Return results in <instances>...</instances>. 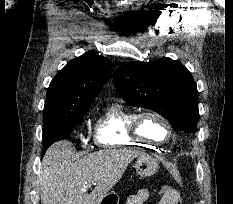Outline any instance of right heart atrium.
I'll use <instances>...</instances> for the list:
<instances>
[{
    "mask_svg": "<svg viewBox=\"0 0 233 204\" xmlns=\"http://www.w3.org/2000/svg\"><path fill=\"white\" fill-rule=\"evenodd\" d=\"M81 139H82V141H83V142H85V141H86V140H85V138H84L83 136H81Z\"/></svg>",
    "mask_w": 233,
    "mask_h": 204,
    "instance_id": "right-heart-atrium-1",
    "label": "right heart atrium"
}]
</instances>
